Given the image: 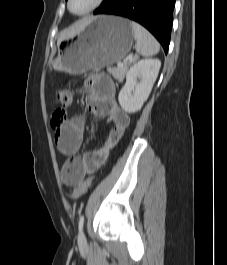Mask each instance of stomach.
<instances>
[{"mask_svg":"<svg viewBox=\"0 0 227 265\" xmlns=\"http://www.w3.org/2000/svg\"><path fill=\"white\" fill-rule=\"evenodd\" d=\"M133 39V28L127 19L98 16L76 37L58 45V55L49 66L72 75L101 69L122 60L131 50Z\"/></svg>","mask_w":227,"mask_h":265,"instance_id":"1","label":"stomach"}]
</instances>
